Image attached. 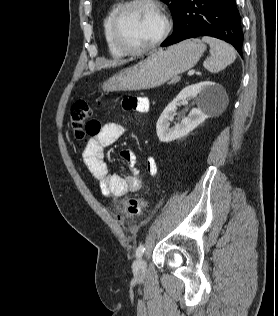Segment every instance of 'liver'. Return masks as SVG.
Wrapping results in <instances>:
<instances>
[{
  "mask_svg": "<svg viewBox=\"0 0 278 316\" xmlns=\"http://www.w3.org/2000/svg\"><path fill=\"white\" fill-rule=\"evenodd\" d=\"M112 64H107V65H105L106 67H109V66H111Z\"/></svg>",
  "mask_w": 278,
  "mask_h": 316,
  "instance_id": "6515ba94",
  "label": "liver"
}]
</instances>
